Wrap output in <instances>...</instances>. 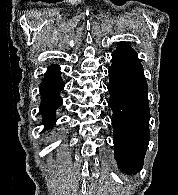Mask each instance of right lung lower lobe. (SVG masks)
<instances>
[{
  "instance_id": "obj_1",
  "label": "right lung lower lobe",
  "mask_w": 178,
  "mask_h": 195,
  "mask_svg": "<svg viewBox=\"0 0 178 195\" xmlns=\"http://www.w3.org/2000/svg\"><path fill=\"white\" fill-rule=\"evenodd\" d=\"M64 88V82L61 79L59 66L53 65L45 74L40 84V95L42 96L40 111L43 115L46 128L55 124L56 109L62 104L60 91Z\"/></svg>"
}]
</instances>
